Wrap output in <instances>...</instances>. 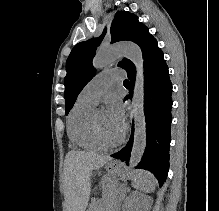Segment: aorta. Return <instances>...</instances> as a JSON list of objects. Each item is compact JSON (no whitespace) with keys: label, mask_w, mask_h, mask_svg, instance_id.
Wrapping results in <instances>:
<instances>
[{"label":"aorta","mask_w":219,"mask_h":211,"mask_svg":"<svg viewBox=\"0 0 219 211\" xmlns=\"http://www.w3.org/2000/svg\"><path fill=\"white\" fill-rule=\"evenodd\" d=\"M124 56L136 67V79L132 99V114L135 120L133 146L130 155L129 169L131 172L142 160L146 148V121L144 114V62L141 49L134 43L125 42L100 50L94 60L95 68H102L117 57ZM125 179V175L123 176Z\"/></svg>","instance_id":"762f6f07"}]
</instances>
